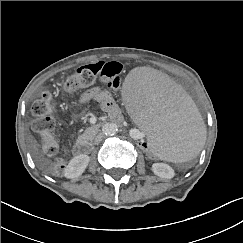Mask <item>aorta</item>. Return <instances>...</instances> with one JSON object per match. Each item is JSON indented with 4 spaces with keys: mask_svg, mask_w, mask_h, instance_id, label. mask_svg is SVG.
Instances as JSON below:
<instances>
[{
    "mask_svg": "<svg viewBox=\"0 0 243 243\" xmlns=\"http://www.w3.org/2000/svg\"><path fill=\"white\" fill-rule=\"evenodd\" d=\"M103 133L106 135V136H113L115 135L117 132H118V126L116 123H106L104 126H103Z\"/></svg>",
    "mask_w": 243,
    "mask_h": 243,
    "instance_id": "762f6f07",
    "label": "aorta"
}]
</instances>
